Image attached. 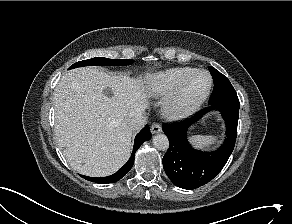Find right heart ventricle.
I'll return each instance as SVG.
<instances>
[{"instance_id":"1","label":"right heart ventricle","mask_w":292,"mask_h":224,"mask_svg":"<svg viewBox=\"0 0 292 224\" xmlns=\"http://www.w3.org/2000/svg\"><path fill=\"white\" fill-rule=\"evenodd\" d=\"M195 68L174 67L150 75L147 79V89L152 96H169L178 84Z\"/></svg>"}]
</instances>
